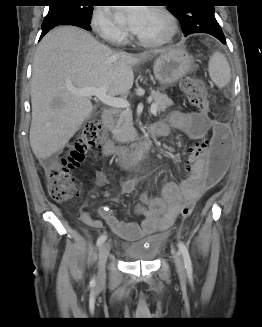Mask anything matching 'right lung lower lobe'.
<instances>
[{
  "instance_id": "1",
  "label": "right lung lower lobe",
  "mask_w": 262,
  "mask_h": 327,
  "mask_svg": "<svg viewBox=\"0 0 262 327\" xmlns=\"http://www.w3.org/2000/svg\"><path fill=\"white\" fill-rule=\"evenodd\" d=\"M90 21H85L76 17H59L55 19H51L48 21H43L42 24V33L40 39L52 28L59 25H73L77 27H81L86 30H91L89 25Z\"/></svg>"
}]
</instances>
